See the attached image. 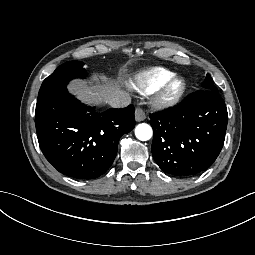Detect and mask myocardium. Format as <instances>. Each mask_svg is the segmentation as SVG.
<instances>
[{
  "instance_id": "1",
  "label": "myocardium",
  "mask_w": 255,
  "mask_h": 255,
  "mask_svg": "<svg viewBox=\"0 0 255 255\" xmlns=\"http://www.w3.org/2000/svg\"><path fill=\"white\" fill-rule=\"evenodd\" d=\"M157 90V89H156ZM160 94H166V91H159L157 90Z\"/></svg>"
}]
</instances>
